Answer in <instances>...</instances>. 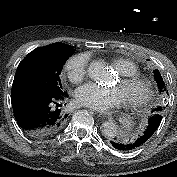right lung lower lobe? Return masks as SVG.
<instances>
[{"mask_svg": "<svg viewBox=\"0 0 177 177\" xmlns=\"http://www.w3.org/2000/svg\"><path fill=\"white\" fill-rule=\"evenodd\" d=\"M67 97L66 92L54 95L27 89H12L11 103L15 119L20 128L31 137L53 135L67 122L68 114L62 105Z\"/></svg>", "mask_w": 177, "mask_h": 177, "instance_id": "obj_1", "label": "right lung lower lobe"}]
</instances>
